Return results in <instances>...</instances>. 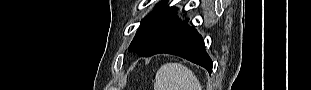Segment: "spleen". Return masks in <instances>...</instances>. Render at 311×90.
Here are the masks:
<instances>
[{
    "label": "spleen",
    "mask_w": 311,
    "mask_h": 90,
    "mask_svg": "<svg viewBox=\"0 0 311 90\" xmlns=\"http://www.w3.org/2000/svg\"><path fill=\"white\" fill-rule=\"evenodd\" d=\"M155 80L154 90H202L192 70L180 63L162 65Z\"/></svg>",
    "instance_id": "1"
}]
</instances>
